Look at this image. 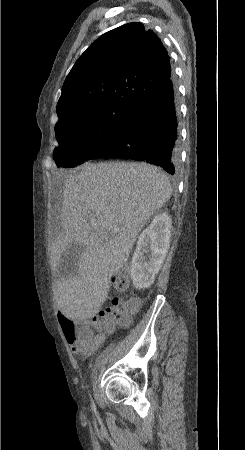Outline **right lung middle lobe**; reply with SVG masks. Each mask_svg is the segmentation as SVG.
I'll list each match as a JSON object with an SVG mask.
<instances>
[{
	"label": "right lung middle lobe",
	"instance_id": "right-lung-middle-lobe-1",
	"mask_svg": "<svg viewBox=\"0 0 245 450\" xmlns=\"http://www.w3.org/2000/svg\"><path fill=\"white\" fill-rule=\"evenodd\" d=\"M133 108L104 104L58 116L55 134L59 147L53 153L58 167L72 168L113 144L126 128Z\"/></svg>",
	"mask_w": 245,
	"mask_h": 450
}]
</instances>
